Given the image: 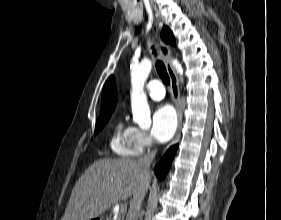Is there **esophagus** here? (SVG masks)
I'll list each match as a JSON object with an SVG mask.
<instances>
[{
	"label": "esophagus",
	"instance_id": "1",
	"mask_svg": "<svg viewBox=\"0 0 281 220\" xmlns=\"http://www.w3.org/2000/svg\"><path fill=\"white\" fill-rule=\"evenodd\" d=\"M156 36L158 39V45L161 54L164 57L165 60V66L167 69V73L170 77V87H171V94L174 99V103L177 110V116H178V127L175 134V137L171 143V145L176 144L181 136V129H182V107H181V101H180V90H179V83L178 78L176 76V73L173 69L172 63H171V56L172 51L171 48L161 39L159 30L156 31Z\"/></svg>",
	"mask_w": 281,
	"mask_h": 220
}]
</instances>
